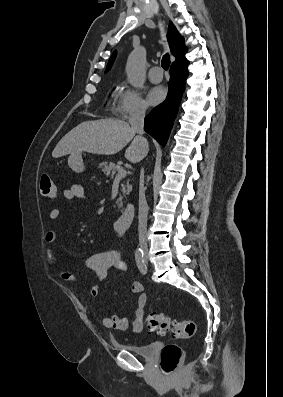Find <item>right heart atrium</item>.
<instances>
[{
    "label": "right heart atrium",
    "mask_w": 283,
    "mask_h": 397,
    "mask_svg": "<svg viewBox=\"0 0 283 397\" xmlns=\"http://www.w3.org/2000/svg\"><path fill=\"white\" fill-rule=\"evenodd\" d=\"M146 110V104L140 93L126 83H122L113 101V114L118 118L129 120L144 115Z\"/></svg>",
    "instance_id": "right-heart-atrium-1"
}]
</instances>
